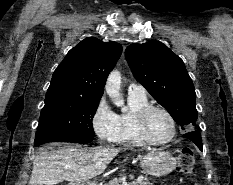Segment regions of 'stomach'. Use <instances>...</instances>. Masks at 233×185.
Masks as SVG:
<instances>
[{
	"instance_id": "stomach-1",
	"label": "stomach",
	"mask_w": 233,
	"mask_h": 185,
	"mask_svg": "<svg viewBox=\"0 0 233 185\" xmlns=\"http://www.w3.org/2000/svg\"><path fill=\"white\" fill-rule=\"evenodd\" d=\"M143 172L154 176H164L176 167V159L166 151H150L140 158ZM75 185H95L89 182H79Z\"/></svg>"
}]
</instances>
